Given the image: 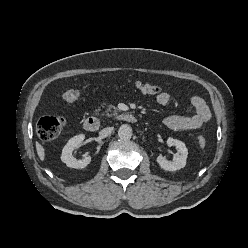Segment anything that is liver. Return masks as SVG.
Segmentation results:
<instances>
[{"label": "liver", "mask_w": 248, "mask_h": 248, "mask_svg": "<svg viewBox=\"0 0 248 248\" xmlns=\"http://www.w3.org/2000/svg\"><path fill=\"white\" fill-rule=\"evenodd\" d=\"M36 150H37V154H38L40 160L43 161L45 159V149L38 142H36Z\"/></svg>", "instance_id": "1"}]
</instances>
